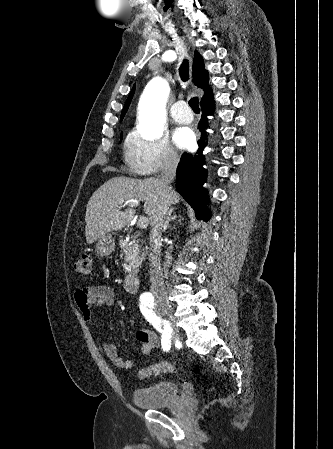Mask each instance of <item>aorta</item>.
Masks as SVG:
<instances>
[{
    "mask_svg": "<svg viewBox=\"0 0 333 449\" xmlns=\"http://www.w3.org/2000/svg\"><path fill=\"white\" fill-rule=\"evenodd\" d=\"M169 91V84L160 77L145 87L139 103V132L144 138L151 140L163 135Z\"/></svg>",
    "mask_w": 333,
    "mask_h": 449,
    "instance_id": "762f6f07",
    "label": "aorta"
}]
</instances>
